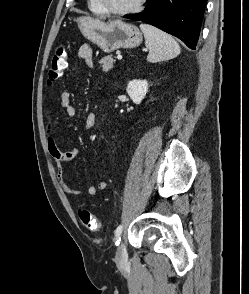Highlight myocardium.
I'll use <instances>...</instances> for the list:
<instances>
[{"label": "myocardium", "instance_id": "1", "mask_svg": "<svg viewBox=\"0 0 249 294\" xmlns=\"http://www.w3.org/2000/svg\"><path fill=\"white\" fill-rule=\"evenodd\" d=\"M96 2L99 5V7L102 9V11L104 12L103 14L124 16V15H129L139 11L145 4L146 0H137L132 6L125 9H120V10L107 7L103 3V0H96Z\"/></svg>", "mask_w": 249, "mask_h": 294}]
</instances>
